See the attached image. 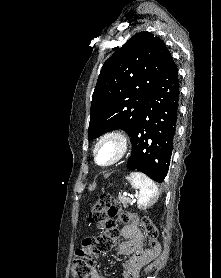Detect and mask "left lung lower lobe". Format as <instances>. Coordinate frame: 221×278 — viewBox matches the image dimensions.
Returning <instances> with one entry per match:
<instances>
[{"label": "left lung lower lobe", "mask_w": 221, "mask_h": 278, "mask_svg": "<svg viewBox=\"0 0 221 278\" xmlns=\"http://www.w3.org/2000/svg\"><path fill=\"white\" fill-rule=\"evenodd\" d=\"M178 69L169 60L149 93L131 133L132 153L127 168L162 183L167 175L176 133L179 108Z\"/></svg>", "instance_id": "left-lung-lower-lobe-1"}]
</instances>
